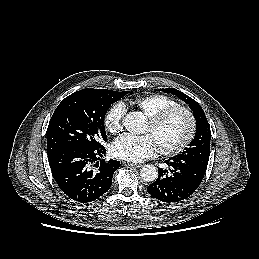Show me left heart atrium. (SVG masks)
Wrapping results in <instances>:
<instances>
[{
  "mask_svg": "<svg viewBox=\"0 0 259 259\" xmlns=\"http://www.w3.org/2000/svg\"><path fill=\"white\" fill-rule=\"evenodd\" d=\"M157 149L153 137L149 134L140 137L125 134L116 139L111 146L115 157L130 162H142L151 158Z\"/></svg>",
  "mask_w": 259,
  "mask_h": 259,
  "instance_id": "left-heart-atrium-1",
  "label": "left heart atrium"
}]
</instances>
